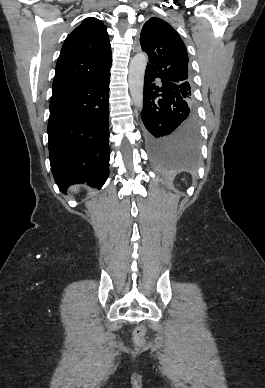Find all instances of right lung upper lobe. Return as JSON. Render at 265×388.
Masks as SVG:
<instances>
[{
	"label": "right lung upper lobe",
	"mask_w": 265,
	"mask_h": 388,
	"mask_svg": "<svg viewBox=\"0 0 265 388\" xmlns=\"http://www.w3.org/2000/svg\"><path fill=\"white\" fill-rule=\"evenodd\" d=\"M111 47L104 24L88 17L66 38L53 80V93L100 80L110 74Z\"/></svg>",
	"instance_id": "cb5924a9"
}]
</instances>
